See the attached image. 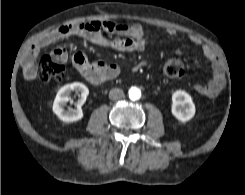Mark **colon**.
<instances>
[{"label": "colon", "mask_w": 245, "mask_h": 195, "mask_svg": "<svg viewBox=\"0 0 245 195\" xmlns=\"http://www.w3.org/2000/svg\"><path fill=\"white\" fill-rule=\"evenodd\" d=\"M40 79L44 82L60 81L66 72L65 60L57 57L43 56L39 61ZM167 80L174 81L184 74L183 62L178 58H171L162 67Z\"/></svg>", "instance_id": "1"}]
</instances>
